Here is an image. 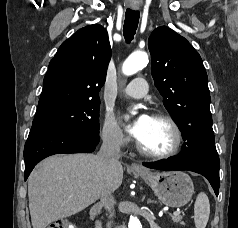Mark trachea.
<instances>
[{
  "label": "trachea",
  "mask_w": 238,
  "mask_h": 228,
  "mask_svg": "<svg viewBox=\"0 0 238 228\" xmlns=\"http://www.w3.org/2000/svg\"><path fill=\"white\" fill-rule=\"evenodd\" d=\"M139 17V11H133L130 9L126 10L123 32L124 38L128 43L134 38L138 27Z\"/></svg>",
  "instance_id": "obj_1"
}]
</instances>
